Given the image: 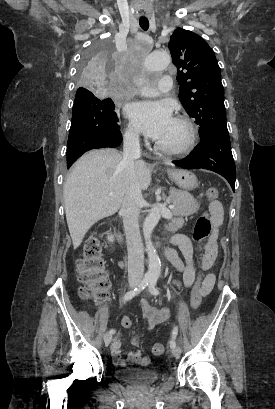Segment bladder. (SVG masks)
<instances>
[{"instance_id":"obj_1","label":"bladder","mask_w":275,"mask_h":409,"mask_svg":"<svg viewBox=\"0 0 275 409\" xmlns=\"http://www.w3.org/2000/svg\"><path fill=\"white\" fill-rule=\"evenodd\" d=\"M159 373L148 368H119L118 381L119 382H135L141 387H150L160 380Z\"/></svg>"}]
</instances>
